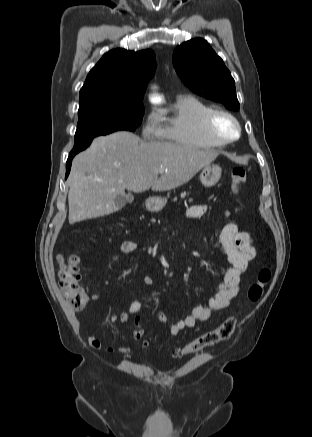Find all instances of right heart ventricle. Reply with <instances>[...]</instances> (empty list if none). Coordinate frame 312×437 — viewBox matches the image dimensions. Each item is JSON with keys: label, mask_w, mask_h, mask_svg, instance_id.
<instances>
[{"label": "right heart ventricle", "mask_w": 312, "mask_h": 437, "mask_svg": "<svg viewBox=\"0 0 312 437\" xmlns=\"http://www.w3.org/2000/svg\"><path fill=\"white\" fill-rule=\"evenodd\" d=\"M212 108L194 96L179 97L172 114L162 124L165 142L194 148H217L203 129V118Z\"/></svg>", "instance_id": "obj_1"}]
</instances>
